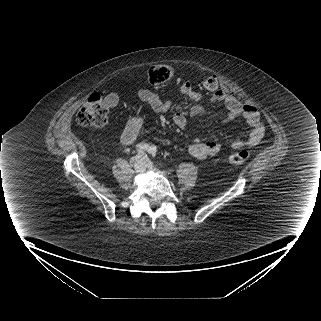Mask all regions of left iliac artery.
<instances>
[{
    "mask_svg": "<svg viewBox=\"0 0 321 321\" xmlns=\"http://www.w3.org/2000/svg\"><path fill=\"white\" fill-rule=\"evenodd\" d=\"M149 154L152 155V157L156 156V152H157V148L156 146L152 145L149 150H148Z\"/></svg>",
    "mask_w": 321,
    "mask_h": 321,
    "instance_id": "obj_1",
    "label": "left iliac artery"
}]
</instances>
